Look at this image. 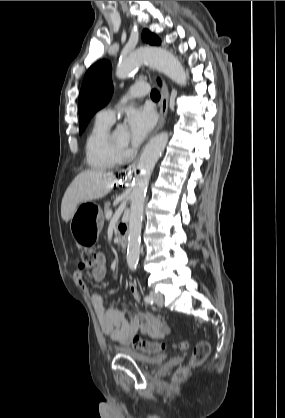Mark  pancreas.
Here are the masks:
<instances>
[{"label":"pancreas","instance_id":"1","mask_svg":"<svg viewBox=\"0 0 285 418\" xmlns=\"http://www.w3.org/2000/svg\"><path fill=\"white\" fill-rule=\"evenodd\" d=\"M110 211V203L109 202H105L104 204V212L105 214Z\"/></svg>","mask_w":285,"mask_h":418}]
</instances>
